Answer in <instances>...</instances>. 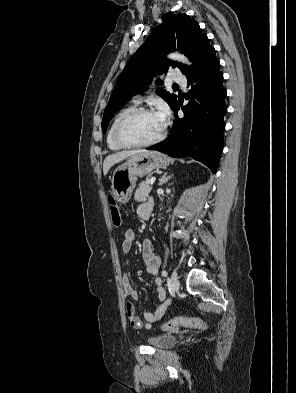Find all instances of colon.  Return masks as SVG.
Instances as JSON below:
<instances>
[{"instance_id": "5ec220e1", "label": "colon", "mask_w": 296, "mask_h": 393, "mask_svg": "<svg viewBox=\"0 0 296 393\" xmlns=\"http://www.w3.org/2000/svg\"><path fill=\"white\" fill-rule=\"evenodd\" d=\"M111 220L115 227H120L122 218L117 203L112 195L108 196ZM206 322L197 318H173L165 323L162 328L165 330H174L179 327L205 328Z\"/></svg>"}]
</instances>
